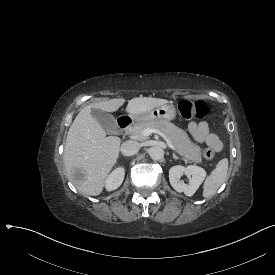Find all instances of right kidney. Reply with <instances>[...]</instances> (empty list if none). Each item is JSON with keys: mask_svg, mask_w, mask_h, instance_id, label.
<instances>
[{"mask_svg": "<svg viewBox=\"0 0 275 275\" xmlns=\"http://www.w3.org/2000/svg\"><path fill=\"white\" fill-rule=\"evenodd\" d=\"M125 170L123 167H118L111 172L105 182V188L107 191H113L117 189L123 182Z\"/></svg>", "mask_w": 275, "mask_h": 275, "instance_id": "1", "label": "right kidney"}]
</instances>
